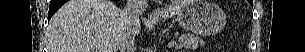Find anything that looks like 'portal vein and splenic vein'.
<instances>
[{"mask_svg": "<svg viewBox=\"0 0 305 52\" xmlns=\"http://www.w3.org/2000/svg\"><path fill=\"white\" fill-rule=\"evenodd\" d=\"M169 45H170L171 47H173V46L176 45V42H175V41H171V42L169 43Z\"/></svg>", "mask_w": 305, "mask_h": 52, "instance_id": "obj_1", "label": "portal vein and splenic vein"}]
</instances>
